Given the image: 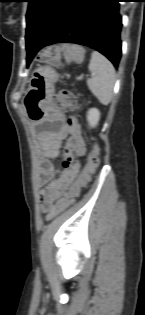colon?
I'll return each mask as SVG.
<instances>
[{
    "label": "colon",
    "mask_w": 145,
    "mask_h": 315,
    "mask_svg": "<svg viewBox=\"0 0 145 315\" xmlns=\"http://www.w3.org/2000/svg\"><path fill=\"white\" fill-rule=\"evenodd\" d=\"M84 56L82 48L77 46L48 47L41 51L39 59L47 64L57 65L62 59L79 62ZM55 104L61 109H71L75 104L74 95L67 90H60L54 96ZM100 164V157L96 147H92L89 152L86 167L77 183H75L67 193L57 201L49 214V217H55L69 206H71L79 194L80 187L90 178Z\"/></svg>",
    "instance_id": "1"
}]
</instances>
